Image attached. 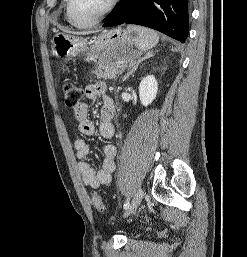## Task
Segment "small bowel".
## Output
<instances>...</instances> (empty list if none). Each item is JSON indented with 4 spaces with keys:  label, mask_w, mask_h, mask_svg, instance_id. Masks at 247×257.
I'll return each instance as SVG.
<instances>
[{
    "label": "small bowel",
    "mask_w": 247,
    "mask_h": 257,
    "mask_svg": "<svg viewBox=\"0 0 247 257\" xmlns=\"http://www.w3.org/2000/svg\"><path fill=\"white\" fill-rule=\"evenodd\" d=\"M106 85L102 82L89 85L85 88V96L93 101L97 97L102 98V107L100 111L99 133L104 139H111L114 136V126L112 119L114 116V103L112 99L105 94ZM72 115L78 124V130L84 135H93L95 125L89 119L88 106L86 103H78L73 107ZM76 156L79 159L77 164L82 180L86 186L92 189H98L101 186H109L112 182V174L116 167L117 148L113 144H107L104 149V158L102 167L94 170L87 161L90 154V147L83 139L74 141Z\"/></svg>",
    "instance_id": "1"
}]
</instances>
